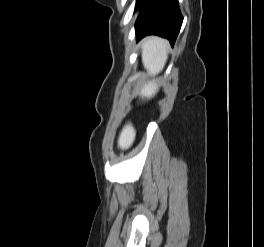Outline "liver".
Masks as SVG:
<instances>
[{
    "label": "liver",
    "mask_w": 264,
    "mask_h": 247,
    "mask_svg": "<svg viewBox=\"0 0 264 247\" xmlns=\"http://www.w3.org/2000/svg\"><path fill=\"white\" fill-rule=\"evenodd\" d=\"M168 42L160 37H147L141 42L142 62L148 75L155 77L159 74L167 61ZM158 85L154 81H149L143 85L140 94L150 99L155 96ZM136 132L131 124H127L118 139V146L121 149H128L134 142Z\"/></svg>",
    "instance_id": "obj_1"
}]
</instances>
